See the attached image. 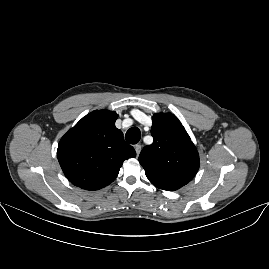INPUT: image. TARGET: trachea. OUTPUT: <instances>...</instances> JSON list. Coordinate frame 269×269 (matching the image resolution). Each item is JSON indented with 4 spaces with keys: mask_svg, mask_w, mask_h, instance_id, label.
<instances>
[{
    "mask_svg": "<svg viewBox=\"0 0 269 269\" xmlns=\"http://www.w3.org/2000/svg\"><path fill=\"white\" fill-rule=\"evenodd\" d=\"M141 134L140 130L136 127L130 128L125 135V139L130 144H137L140 141Z\"/></svg>",
    "mask_w": 269,
    "mask_h": 269,
    "instance_id": "obj_1",
    "label": "trachea"
}]
</instances>
